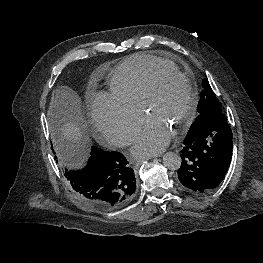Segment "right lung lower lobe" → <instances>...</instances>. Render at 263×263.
<instances>
[{
    "instance_id": "98d812e1",
    "label": "right lung lower lobe",
    "mask_w": 263,
    "mask_h": 263,
    "mask_svg": "<svg viewBox=\"0 0 263 263\" xmlns=\"http://www.w3.org/2000/svg\"><path fill=\"white\" fill-rule=\"evenodd\" d=\"M124 155L92 147L87 165L66 176L73 189L88 203L105 209L128 204L135 193L136 179Z\"/></svg>"
}]
</instances>
